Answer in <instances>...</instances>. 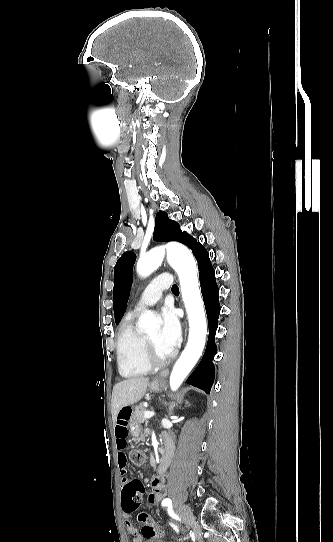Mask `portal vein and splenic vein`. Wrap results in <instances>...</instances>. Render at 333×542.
Here are the masks:
<instances>
[{"instance_id":"portal-vein-and-splenic-vein-1","label":"portal vein and splenic vein","mask_w":333,"mask_h":542,"mask_svg":"<svg viewBox=\"0 0 333 542\" xmlns=\"http://www.w3.org/2000/svg\"><path fill=\"white\" fill-rule=\"evenodd\" d=\"M153 416H156L155 412H144L143 418H153Z\"/></svg>"}]
</instances>
